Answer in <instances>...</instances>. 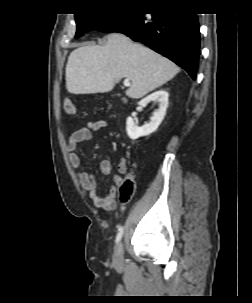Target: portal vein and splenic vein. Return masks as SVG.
I'll return each instance as SVG.
<instances>
[{
    "label": "portal vein and splenic vein",
    "instance_id": "1",
    "mask_svg": "<svg viewBox=\"0 0 252 303\" xmlns=\"http://www.w3.org/2000/svg\"><path fill=\"white\" fill-rule=\"evenodd\" d=\"M123 84H124V86H130V85H131L128 78H126V79L124 80Z\"/></svg>",
    "mask_w": 252,
    "mask_h": 303
}]
</instances>
